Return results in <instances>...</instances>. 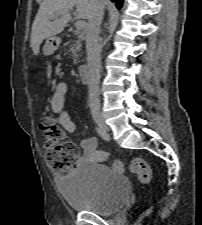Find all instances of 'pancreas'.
<instances>
[{
  "mask_svg": "<svg viewBox=\"0 0 202 225\" xmlns=\"http://www.w3.org/2000/svg\"><path fill=\"white\" fill-rule=\"evenodd\" d=\"M82 44L80 39L74 40L73 44L69 47L68 52L72 53L73 61L76 64L79 61V51L81 50Z\"/></svg>",
  "mask_w": 202,
  "mask_h": 225,
  "instance_id": "obj_1",
  "label": "pancreas"
}]
</instances>
